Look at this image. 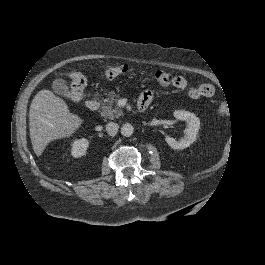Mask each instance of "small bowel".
Segmentation results:
<instances>
[{
	"label": "small bowel",
	"instance_id": "1",
	"mask_svg": "<svg viewBox=\"0 0 265 265\" xmlns=\"http://www.w3.org/2000/svg\"><path fill=\"white\" fill-rule=\"evenodd\" d=\"M173 86L180 90H186L188 96L192 99L202 97H212L214 95V86L209 83H203L198 86L188 87V82L183 76H175L173 78ZM154 94L150 90L144 91L139 97V103L148 106L153 100Z\"/></svg>",
	"mask_w": 265,
	"mask_h": 265
}]
</instances>
